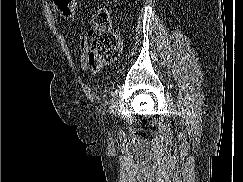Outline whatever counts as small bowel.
<instances>
[{
  "label": "small bowel",
  "mask_w": 243,
  "mask_h": 182,
  "mask_svg": "<svg viewBox=\"0 0 243 182\" xmlns=\"http://www.w3.org/2000/svg\"><path fill=\"white\" fill-rule=\"evenodd\" d=\"M107 64V60L92 57L89 53L87 37H81V66L83 70L97 73Z\"/></svg>",
  "instance_id": "c3829d8e"
}]
</instances>
